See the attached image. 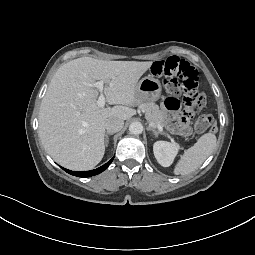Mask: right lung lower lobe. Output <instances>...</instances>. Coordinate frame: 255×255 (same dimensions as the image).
Listing matches in <instances>:
<instances>
[{"label":"right lung lower lobe","mask_w":255,"mask_h":255,"mask_svg":"<svg viewBox=\"0 0 255 255\" xmlns=\"http://www.w3.org/2000/svg\"><path fill=\"white\" fill-rule=\"evenodd\" d=\"M113 158L107 162L106 164H104L103 166L95 169V170H91V171H85V172H79V171H71L68 169H64L67 173L77 176V177H90V176H94L97 175L101 172H103L112 162Z\"/></svg>","instance_id":"1"}]
</instances>
